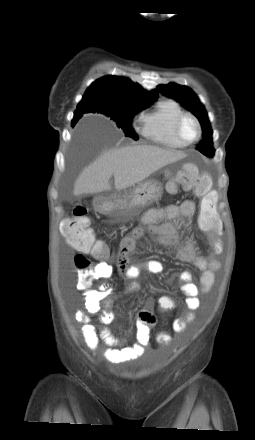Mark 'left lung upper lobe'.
<instances>
[{"label": "left lung upper lobe", "instance_id": "obj_1", "mask_svg": "<svg viewBox=\"0 0 255 440\" xmlns=\"http://www.w3.org/2000/svg\"><path fill=\"white\" fill-rule=\"evenodd\" d=\"M157 89L162 92V94L180 102L199 119L203 131V140H201L197 145V149L202 154L212 157L214 155V148L212 146V130L207 113L204 109V106L200 103L197 95L190 88L175 83L159 85L157 86Z\"/></svg>", "mask_w": 255, "mask_h": 440}]
</instances>
